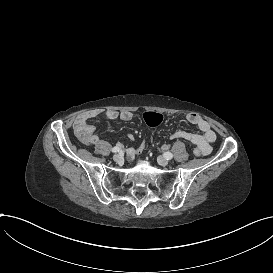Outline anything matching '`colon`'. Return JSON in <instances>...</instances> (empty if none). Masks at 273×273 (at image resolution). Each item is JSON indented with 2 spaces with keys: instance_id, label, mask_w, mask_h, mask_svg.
Listing matches in <instances>:
<instances>
[{
  "instance_id": "colon-1",
  "label": "colon",
  "mask_w": 273,
  "mask_h": 273,
  "mask_svg": "<svg viewBox=\"0 0 273 273\" xmlns=\"http://www.w3.org/2000/svg\"><path fill=\"white\" fill-rule=\"evenodd\" d=\"M145 121L148 125L157 126L164 122V116L161 113H146ZM96 122L97 117L93 113H81L72 120L73 130L83 144H88L92 140V135L86 126H93ZM138 145L137 154L141 155L145 153L147 150L146 140L143 138L140 139Z\"/></svg>"
}]
</instances>
